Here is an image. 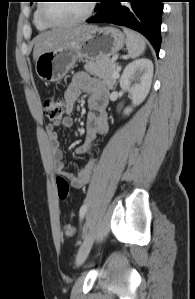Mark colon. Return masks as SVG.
Masks as SVG:
<instances>
[{
    "mask_svg": "<svg viewBox=\"0 0 195 299\" xmlns=\"http://www.w3.org/2000/svg\"><path fill=\"white\" fill-rule=\"evenodd\" d=\"M44 115L54 125L61 123L65 112V102L59 98H46L42 105ZM57 193L61 200H66L69 195V183L64 177H58L56 180ZM75 226L71 223H66L63 226V233L66 237H71L75 234Z\"/></svg>",
    "mask_w": 195,
    "mask_h": 299,
    "instance_id": "5ec220e1",
    "label": "colon"
}]
</instances>
